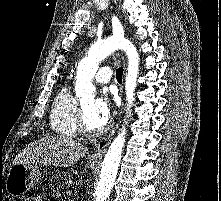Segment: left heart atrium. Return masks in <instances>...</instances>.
Segmentation results:
<instances>
[{
	"label": "left heart atrium",
	"instance_id": "39dd6f15",
	"mask_svg": "<svg viewBox=\"0 0 221 201\" xmlns=\"http://www.w3.org/2000/svg\"><path fill=\"white\" fill-rule=\"evenodd\" d=\"M94 114L104 124L109 120L112 113V105L109 98L105 95L97 98L94 102Z\"/></svg>",
	"mask_w": 221,
	"mask_h": 201
}]
</instances>
